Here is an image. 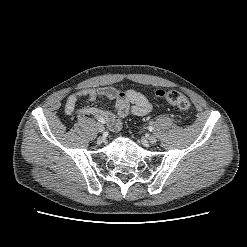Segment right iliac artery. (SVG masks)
I'll return each mask as SVG.
<instances>
[{"label":"right iliac artery","mask_w":247,"mask_h":247,"mask_svg":"<svg viewBox=\"0 0 247 247\" xmlns=\"http://www.w3.org/2000/svg\"><path fill=\"white\" fill-rule=\"evenodd\" d=\"M99 122H101L102 124L105 123V120L103 118H97Z\"/></svg>","instance_id":"82829eb1"}]
</instances>
